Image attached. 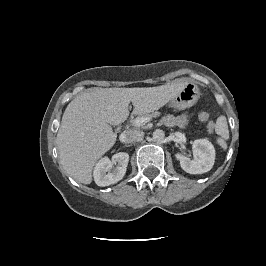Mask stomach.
<instances>
[{
    "label": "stomach",
    "instance_id": "obj_1",
    "mask_svg": "<svg viewBox=\"0 0 266 266\" xmlns=\"http://www.w3.org/2000/svg\"><path fill=\"white\" fill-rule=\"evenodd\" d=\"M200 92L194 82L184 83L181 90L171 99L170 105L177 109H185L195 104Z\"/></svg>",
    "mask_w": 266,
    "mask_h": 266
}]
</instances>
